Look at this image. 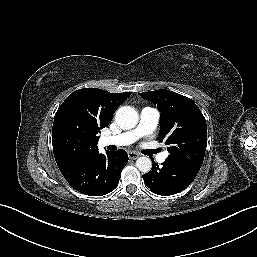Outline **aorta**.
Segmentation results:
<instances>
[{"label":"aorta","mask_w":257,"mask_h":257,"mask_svg":"<svg viewBox=\"0 0 257 257\" xmlns=\"http://www.w3.org/2000/svg\"><path fill=\"white\" fill-rule=\"evenodd\" d=\"M115 119L117 124L122 129L128 130L134 128L137 125L139 116L133 107L123 106L117 110ZM136 167L139 171L147 173L152 168V161L148 157H140L136 160Z\"/></svg>","instance_id":"762f6f07"}]
</instances>
